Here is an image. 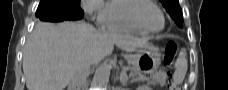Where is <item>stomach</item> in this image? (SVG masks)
<instances>
[{"mask_svg": "<svg viewBox=\"0 0 228 90\" xmlns=\"http://www.w3.org/2000/svg\"><path fill=\"white\" fill-rule=\"evenodd\" d=\"M159 49L152 44H146L136 54L128 56L129 64L143 73H152L161 64Z\"/></svg>", "mask_w": 228, "mask_h": 90, "instance_id": "obj_1", "label": "stomach"}]
</instances>
